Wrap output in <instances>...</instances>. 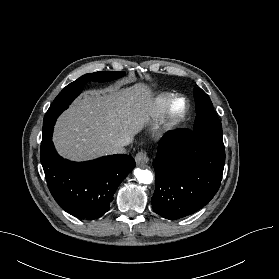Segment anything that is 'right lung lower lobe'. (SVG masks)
Returning <instances> with one entry per match:
<instances>
[{"instance_id":"right-lung-lower-lobe-1","label":"right lung lower lobe","mask_w":279,"mask_h":279,"mask_svg":"<svg viewBox=\"0 0 279 279\" xmlns=\"http://www.w3.org/2000/svg\"><path fill=\"white\" fill-rule=\"evenodd\" d=\"M49 190L59 206L83 220L103 216L122 180L136 166L131 155H109L72 162L56 152L53 143L41 152Z\"/></svg>"}]
</instances>
